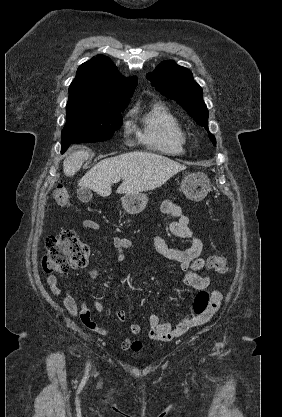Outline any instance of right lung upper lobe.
Masks as SVG:
<instances>
[{
  "mask_svg": "<svg viewBox=\"0 0 282 417\" xmlns=\"http://www.w3.org/2000/svg\"><path fill=\"white\" fill-rule=\"evenodd\" d=\"M136 85V78L123 77L108 57L97 55L79 66L69 95H132Z\"/></svg>",
  "mask_w": 282,
  "mask_h": 417,
  "instance_id": "cb5924a9",
  "label": "right lung upper lobe"
}]
</instances>
